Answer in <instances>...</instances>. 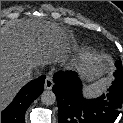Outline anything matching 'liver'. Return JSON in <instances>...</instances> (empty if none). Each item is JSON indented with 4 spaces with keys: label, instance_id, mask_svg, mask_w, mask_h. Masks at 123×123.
<instances>
[{
    "label": "liver",
    "instance_id": "6515ba94",
    "mask_svg": "<svg viewBox=\"0 0 123 123\" xmlns=\"http://www.w3.org/2000/svg\"><path fill=\"white\" fill-rule=\"evenodd\" d=\"M70 47L65 30L42 19H18L1 28V111L27 83L24 72L31 66L63 65ZM86 79L100 75L93 66L82 72Z\"/></svg>",
    "mask_w": 123,
    "mask_h": 123
}]
</instances>
